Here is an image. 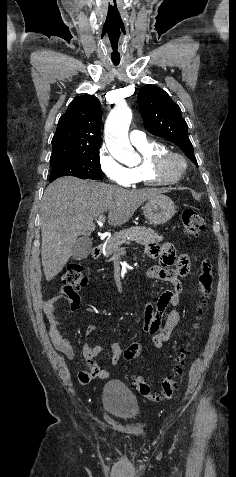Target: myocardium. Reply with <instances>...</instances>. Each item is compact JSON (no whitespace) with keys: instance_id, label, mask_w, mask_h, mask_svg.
Instances as JSON below:
<instances>
[{"instance_id":"1","label":"myocardium","mask_w":236,"mask_h":477,"mask_svg":"<svg viewBox=\"0 0 236 477\" xmlns=\"http://www.w3.org/2000/svg\"><path fill=\"white\" fill-rule=\"evenodd\" d=\"M177 162L179 168L176 171H168V165ZM188 167L185 156L175 151H162L153 155L148 162L149 174L163 184H174L186 173Z\"/></svg>"}]
</instances>
